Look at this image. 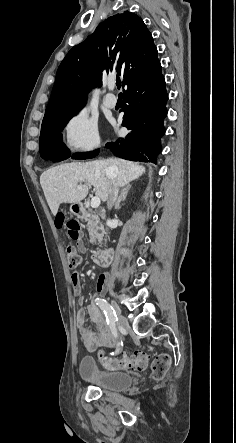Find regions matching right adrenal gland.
Masks as SVG:
<instances>
[{
  "mask_svg": "<svg viewBox=\"0 0 236 443\" xmlns=\"http://www.w3.org/2000/svg\"><path fill=\"white\" fill-rule=\"evenodd\" d=\"M131 189V185L127 184L126 186H124V188L122 189L121 195L118 198L116 204H115V209L118 210L120 208V203L121 201H124L128 195L129 190Z\"/></svg>",
  "mask_w": 236,
  "mask_h": 443,
  "instance_id": "2a0ac1e0",
  "label": "right adrenal gland"
}]
</instances>
